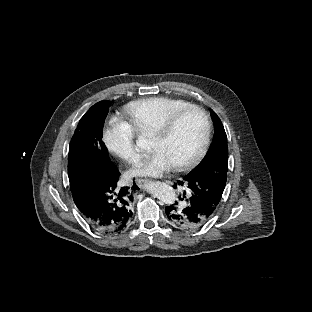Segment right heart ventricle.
<instances>
[{"label":"right heart ventricle","instance_id":"obj_1","mask_svg":"<svg viewBox=\"0 0 312 312\" xmlns=\"http://www.w3.org/2000/svg\"><path fill=\"white\" fill-rule=\"evenodd\" d=\"M190 100L185 95H141L128 103L132 121L142 132H154L175 115L188 110Z\"/></svg>","mask_w":312,"mask_h":312}]
</instances>
